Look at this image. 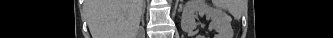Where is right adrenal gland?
Here are the masks:
<instances>
[{
  "instance_id": "obj_1",
  "label": "right adrenal gland",
  "mask_w": 333,
  "mask_h": 38,
  "mask_svg": "<svg viewBox=\"0 0 333 38\" xmlns=\"http://www.w3.org/2000/svg\"><path fill=\"white\" fill-rule=\"evenodd\" d=\"M145 8H146V3L144 1V3H143V10H142V16H141L142 22L144 21Z\"/></svg>"
}]
</instances>
